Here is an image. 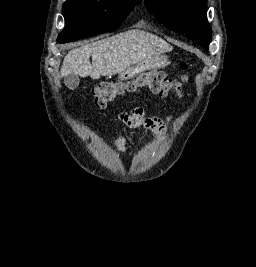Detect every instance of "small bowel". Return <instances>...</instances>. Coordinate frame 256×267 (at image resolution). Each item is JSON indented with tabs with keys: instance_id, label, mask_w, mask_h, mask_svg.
<instances>
[{
	"instance_id": "small-bowel-1",
	"label": "small bowel",
	"mask_w": 256,
	"mask_h": 267,
	"mask_svg": "<svg viewBox=\"0 0 256 267\" xmlns=\"http://www.w3.org/2000/svg\"><path fill=\"white\" fill-rule=\"evenodd\" d=\"M119 120L130 128H148L156 137H161L168 131L172 116H167L165 119H161L157 116L149 115L142 108H134L128 112L120 113ZM111 141L117 152H124L126 140L121 135L115 134L111 138Z\"/></svg>"
}]
</instances>
